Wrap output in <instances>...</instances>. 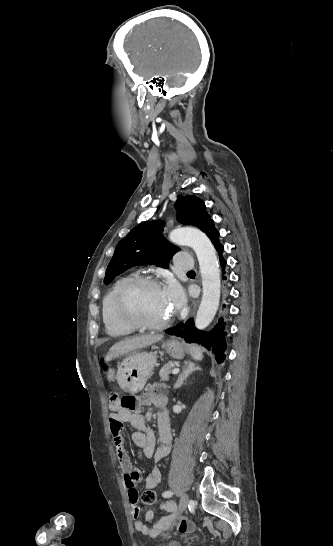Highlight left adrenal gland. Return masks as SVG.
<instances>
[{"instance_id":"1","label":"left adrenal gland","mask_w":333,"mask_h":546,"mask_svg":"<svg viewBox=\"0 0 333 546\" xmlns=\"http://www.w3.org/2000/svg\"><path fill=\"white\" fill-rule=\"evenodd\" d=\"M196 370H200L199 367H195V364L192 363V362H186L185 363V366L183 368V371L182 373L179 375L175 385H174V388L175 389H178L180 388L183 384H184V381L187 380V378L193 373L195 372Z\"/></svg>"}]
</instances>
